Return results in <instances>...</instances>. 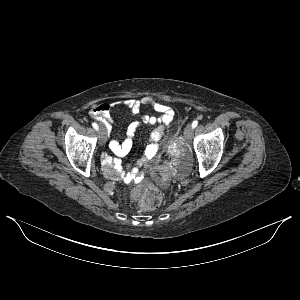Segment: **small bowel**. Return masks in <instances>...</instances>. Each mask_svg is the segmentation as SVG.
I'll return each instance as SVG.
<instances>
[{
    "label": "small bowel",
    "mask_w": 300,
    "mask_h": 300,
    "mask_svg": "<svg viewBox=\"0 0 300 300\" xmlns=\"http://www.w3.org/2000/svg\"><path fill=\"white\" fill-rule=\"evenodd\" d=\"M150 106L158 115H144L140 119L129 124L126 132V137L122 142L112 140L109 143L111 151L118 157L112 158L107 154L102 156L103 171L107 177L113 180H122L124 178L134 180L138 172L136 169H130L123 165L120 158L125 157L133 147L134 136L136 132L145 125H157L152 131L150 142L146 146L144 154L139 160V165L147 166L157 156L159 141L168 132L173 119L174 111L171 107L156 101L151 97H144L142 99H127L115 101L112 103H103L96 106L91 115L98 119L102 124L106 134H108L113 127V119L111 117V110L116 106H122L128 109L132 114H138L142 106ZM175 149V147H173Z\"/></svg>",
    "instance_id": "obj_1"
}]
</instances>
